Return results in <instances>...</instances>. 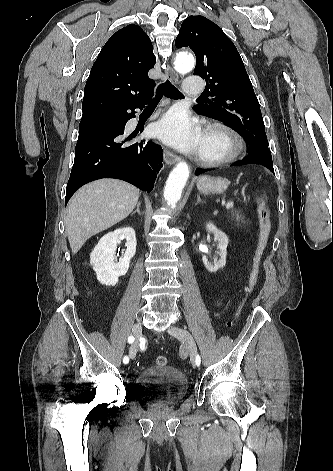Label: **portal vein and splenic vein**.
Returning a JSON list of instances; mask_svg holds the SVG:
<instances>
[{"label":"portal vein and splenic vein","mask_w":333,"mask_h":471,"mask_svg":"<svg viewBox=\"0 0 333 471\" xmlns=\"http://www.w3.org/2000/svg\"><path fill=\"white\" fill-rule=\"evenodd\" d=\"M234 206V202L233 201H229L226 203L225 207L226 209H229V208H232Z\"/></svg>","instance_id":"1"}]
</instances>
